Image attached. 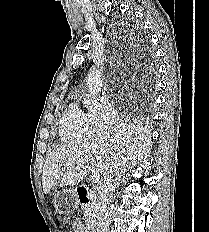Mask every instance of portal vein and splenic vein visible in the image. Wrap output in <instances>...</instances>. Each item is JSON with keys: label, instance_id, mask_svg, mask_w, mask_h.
Segmentation results:
<instances>
[{"label": "portal vein and splenic vein", "instance_id": "18ae733b", "mask_svg": "<svg viewBox=\"0 0 209 232\" xmlns=\"http://www.w3.org/2000/svg\"><path fill=\"white\" fill-rule=\"evenodd\" d=\"M86 168L88 169V171L91 173V181L92 184H96L99 181L100 175L98 172H96L94 169H92L91 166H86Z\"/></svg>", "mask_w": 209, "mask_h": 232}]
</instances>
